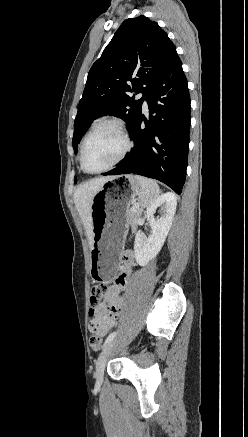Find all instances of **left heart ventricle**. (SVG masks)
I'll return each mask as SVG.
<instances>
[{
	"mask_svg": "<svg viewBox=\"0 0 248 437\" xmlns=\"http://www.w3.org/2000/svg\"><path fill=\"white\" fill-rule=\"evenodd\" d=\"M125 143L121 134L107 126L97 131L88 141L85 149V166L89 171H98L115 161Z\"/></svg>",
	"mask_w": 248,
	"mask_h": 437,
	"instance_id": "1",
	"label": "left heart ventricle"
}]
</instances>
